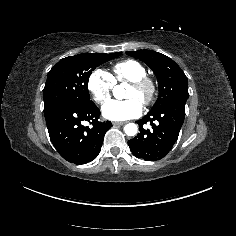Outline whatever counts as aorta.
I'll return each instance as SVG.
<instances>
[{"label":"aorta","mask_w":236,"mask_h":236,"mask_svg":"<svg viewBox=\"0 0 236 236\" xmlns=\"http://www.w3.org/2000/svg\"><path fill=\"white\" fill-rule=\"evenodd\" d=\"M138 127L135 123H128L124 126V132L128 136H134L137 134Z\"/></svg>","instance_id":"1"}]
</instances>
